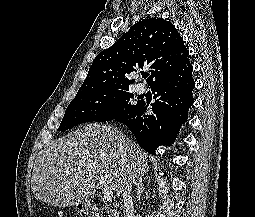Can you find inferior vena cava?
I'll return each mask as SVG.
<instances>
[{
    "label": "inferior vena cava",
    "instance_id": "602c4592",
    "mask_svg": "<svg viewBox=\"0 0 255 217\" xmlns=\"http://www.w3.org/2000/svg\"><path fill=\"white\" fill-rule=\"evenodd\" d=\"M132 178H128L124 183L123 199H124V215L125 217H134V207L132 199Z\"/></svg>",
    "mask_w": 255,
    "mask_h": 217
}]
</instances>
